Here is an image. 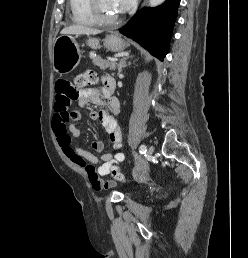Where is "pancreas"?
Returning <instances> with one entry per match:
<instances>
[{
	"label": "pancreas",
	"mask_w": 248,
	"mask_h": 258,
	"mask_svg": "<svg viewBox=\"0 0 248 258\" xmlns=\"http://www.w3.org/2000/svg\"><path fill=\"white\" fill-rule=\"evenodd\" d=\"M89 56L92 59L93 64L100 67L101 69L109 68L110 70H114L116 67L115 62L101 59L99 56L95 55L94 52H90Z\"/></svg>",
	"instance_id": "obj_1"
}]
</instances>
